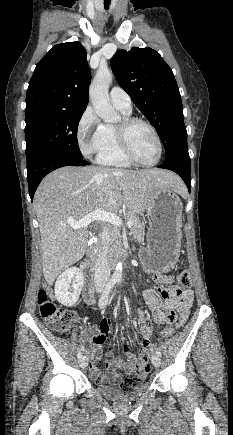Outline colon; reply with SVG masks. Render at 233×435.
<instances>
[{"mask_svg": "<svg viewBox=\"0 0 233 435\" xmlns=\"http://www.w3.org/2000/svg\"><path fill=\"white\" fill-rule=\"evenodd\" d=\"M178 284L183 288H188L191 285L190 274L188 270H183L177 277ZM53 289L48 285H43L39 290L37 302L39 311L43 320L48 327L57 333H65L69 330L71 323L74 320V313L68 309L58 308L51 300ZM187 311H185V316ZM150 370L149 366L144 368ZM139 370L136 373L139 374ZM138 384L137 379H129L121 384L123 390L128 391L133 389Z\"/></svg>", "mask_w": 233, "mask_h": 435, "instance_id": "colon-1", "label": "colon"}]
</instances>
